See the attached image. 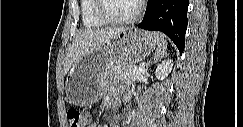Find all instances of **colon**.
<instances>
[{
	"label": "colon",
	"mask_w": 243,
	"mask_h": 127,
	"mask_svg": "<svg viewBox=\"0 0 243 127\" xmlns=\"http://www.w3.org/2000/svg\"><path fill=\"white\" fill-rule=\"evenodd\" d=\"M67 119L71 127H83L85 125V119L82 113L76 108L68 110Z\"/></svg>",
	"instance_id": "colon-1"
}]
</instances>
